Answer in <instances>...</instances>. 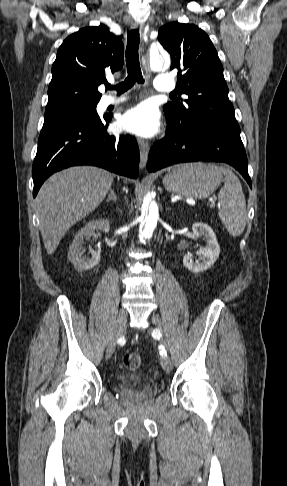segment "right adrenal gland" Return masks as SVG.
<instances>
[{
  "instance_id": "obj_1",
  "label": "right adrenal gland",
  "mask_w": 287,
  "mask_h": 486,
  "mask_svg": "<svg viewBox=\"0 0 287 486\" xmlns=\"http://www.w3.org/2000/svg\"><path fill=\"white\" fill-rule=\"evenodd\" d=\"M111 200H113V201H115V202L117 201V197H116L115 192H114V190H113V189H110V191H109V195H108V198H107V200H106V201H107V202H109V201H111Z\"/></svg>"
}]
</instances>
